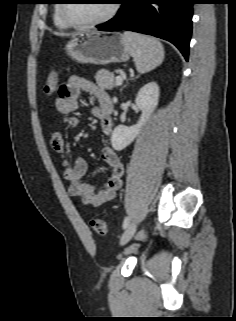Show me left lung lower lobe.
<instances>
[{
	"mask_svg": "<svg viewBox=\"0 0 236 321\" xmlns=\"http://www.w3.org/2000/svg\"><path fill=\"white\" fill-rule=\"evenodd\" d=\"M194 0H119L117 15L101 31L129 30L165 39L188 61Z\"/></svg>",
	"mask_w": 236,
	"mask_h": 321,
	"instance_id": "0a47b994",
	"label": "left lung lower lobe"
}]
</instances>
